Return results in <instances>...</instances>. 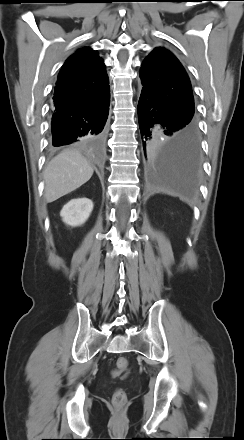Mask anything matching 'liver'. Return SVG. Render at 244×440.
<instances>
[{"mask_svg": "<svg viewBox=\"0 0 244 440\" xmlns=\"http://www.w3.org/2000/svg\"><path fill=\"white\" fill-rule=\"evenodd\" d=\"M93 167L76 149H67L54 157L44 171V197L51 203L76 190L93 175Z\"/></svg>", "mask_w": 244, "mask_h": 440, "instance_id": "obj_1", "label": "liver"}]
</instances>
